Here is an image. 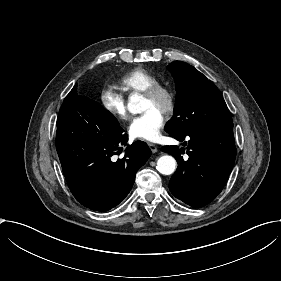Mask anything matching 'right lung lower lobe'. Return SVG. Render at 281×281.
Segmentation results:
<instances>
[{"label": "right lung lower lobe", "mask_w": 281, "mask_h": 281, "mask_svg": "<svg viewBox=\"0 0 281 281\" xmlns=\"http://www.w3.org/2000/svg\"><path fill=\"white\" fill-rule=\"evenodd\" d=\"M127 141L117 119L95 101L78 95L76 84L58 114L56 149L67 184L82 205L104 212L130 192L137 170L151 151L145 142L136 141L127 146L122 159L114 161V151Z\"/></svg>", "instance_id": "98d812e1"}]
</instances>
